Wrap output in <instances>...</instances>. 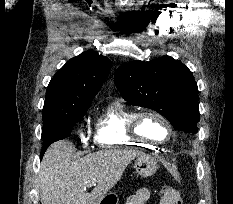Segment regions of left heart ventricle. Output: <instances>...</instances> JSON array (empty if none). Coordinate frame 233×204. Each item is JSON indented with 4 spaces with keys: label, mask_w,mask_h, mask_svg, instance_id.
<instances>
[{
    "label": "left heart ventricle",
    "mask_w": 233,
    "mask_h": 204,
    "mask_svg": "<svg viewBox=\"0 0 233 204\" xmlns=\"http://www.w3.org/2000/svg\"><path fill=\"white\" fill-rule=\"evenodd\" d=\"M141 132L155 140H163L167 137V128L159 119L147 116L141 120L140 123Z\"/></svg>",
    "instance_id": "left-heart-ventricle-1"
}]
</instances>
